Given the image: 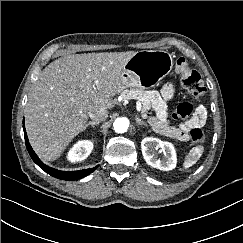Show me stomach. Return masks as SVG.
<instances>
[{
  "label": "stomach",
  "mask_w": 243,
  "mask_h": 243,
  "mask_svg": "<svg viewBox=\"0 0 243 243\" xmlns=\"http://www.w3.org/2000/svg\"><path fill=\"white\" fill-rule=\"evenodd\" d=\"M173 59L163 50L136 52L125 64L121 73L123 87L147 88L157 85L170 73Z\"/></svg>",
  "instance_id": "obj_1"
}]
</instances>
